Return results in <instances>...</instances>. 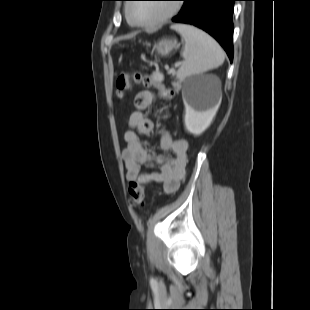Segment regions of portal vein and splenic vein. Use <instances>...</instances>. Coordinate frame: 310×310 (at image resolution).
Here are the masks:
<instances>
[{"label": "portal vein and splenic vein", "instance_id": "18ae733b", "mask_svg": "<svg viewBox=\"0 0 310 310\" xmlns=\"http://www.w3.org/2000/svg\"><path fill=\"white\" fill-rule=\"evenodd\" d=\"M180 65V63L175 64V67H178ZM166 69H168V67H166ZM171 72H174V69L171 70Z\"/></svg>", "mask_w": 310, "mask_h": 310}]
</instances>
